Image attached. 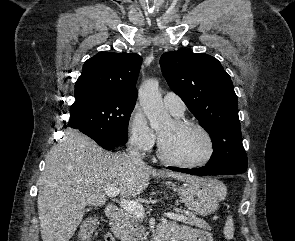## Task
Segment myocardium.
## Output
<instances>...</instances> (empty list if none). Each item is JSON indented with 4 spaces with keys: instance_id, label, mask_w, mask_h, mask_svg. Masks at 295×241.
<instances>
[{
    "instance_id": "myocardium-1",
    "label": "myocardium",
    "mask_w": 295,
    "mask_h": 241,
    "mask_svg": "<svg viewBox=\"0 0 295 241\" xmlns=\"http://www.w3.org/2000/svg\"><path fill=\"white\" fill-rule=\"evenodd\" d=\"M174 124L179 128L192 127V128L197 129L204 136V138L207 141L208 152L203 159L196 161V162L187 163V162L177 161V160L169 157L165 153L164 145H163L162 139L159 135L158 150H157V155H158L159 159L166 164H169V165H172L175 167H179V168H183V169H196V168L203 167V166L207 165L208 163H210L216 153V144L213 139V136L208 131V129L206 127H204L202 124H200L196 121H192V120L175 119Z\"/></svg>"
}]
</instances>
